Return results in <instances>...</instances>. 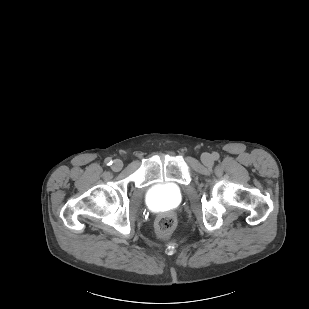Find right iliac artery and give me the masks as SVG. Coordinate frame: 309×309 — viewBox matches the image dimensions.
Listing matches in <instances>:
<instances>
[{"label": "right iliac artery", "mask_w": 309, "mask_h": 309, "mask_svg": "<svg viewBox=\"0 0 309 309\" xmlns=\"http://www.w3.org/2000/svg\"><path fill=\"white\" fill-rule=\"evenodd\" d=\"M105 164L106 165H111L112 164V160L110 158L105 159Z\"/></svg>", "instance_id": "right-iliac-artery-1"}]
</instances>
